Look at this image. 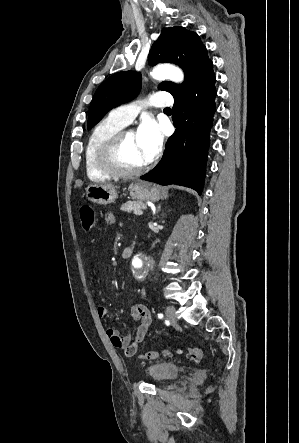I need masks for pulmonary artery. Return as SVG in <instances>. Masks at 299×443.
Here are the masks:
<instances>
[{
    "label": "pulmonary artery",
    "instance_id": "obj_1",
    "mask_svg": "<svg viewBox=\"0 0 299 443\" xmlns=\"http://www.w3.org/2000/svg\"><path fill=\"white\" fill-rule=\"evenodd\" d=\"M173 103V97L167 92H155L145 101H135L127 105L115 108L110 116L124 125L130 124L138 113L147 106L165 108Z\"/></svg>",
    "mask_w": 299,
    "mask_h": 443
}]
</instances>
